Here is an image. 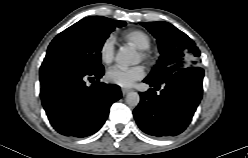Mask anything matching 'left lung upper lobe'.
<instances>
[{"label": "left lung upper lobe", "instance_id": "5c2ea615", "mask_svg": "<svg viewBox=\"0 0 248 158\" xmlns=\"http://www.w3.org/2000/svg\"><path fill=\"white\" fill-rule=\"evenodd\" d=\"M157 38L160 58L148 78L163 82L187 66H196L200 51L185 33L167 22H141Z\"/></svg>", "mask_w": 248, "mask_h": 158}]
</instances>
